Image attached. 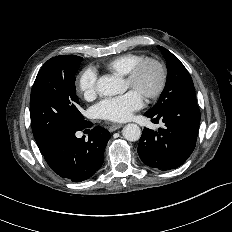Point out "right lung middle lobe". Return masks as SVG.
<instances>
[{"label": "right lung middle lobe", "mask_w": 232, "mask_h": 232, "mask_svg": "<svg viewBox=\"0 0 232 232\" xmlns=\"http://www.w3.org/2000/svg\"><path fill=\"white\" fill-rule=\"evenodd\" d=\"M82 61L76 55L56 56L40 69L31 90L30 117L42 154L60 134L77 130L87 121L79 111L75 74Z\"/></svg>", "instance_id": "right-lung-middle-lobe-1"}]
</instances>
